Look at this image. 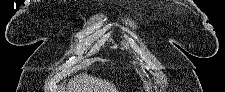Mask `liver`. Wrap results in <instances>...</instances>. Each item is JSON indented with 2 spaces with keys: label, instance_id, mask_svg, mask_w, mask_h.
I'll return each mask as SVG.
<instances>
[{
  "label": "liver",
  "instance_id": "1",
  "mask_svg": "<svg viewBox=\"0 0 225 92\" xmlns=\"http://www.w3.org/2000/svg\"><path fill=\"white\" fill-rule=\"evenodd\" d=\"M66 90V92H118L111 82L87 74L78 75L74 80H70Z\"/></svg>",
  "mask_w": 225,
  "mask_h": 92
}]
</instances>
